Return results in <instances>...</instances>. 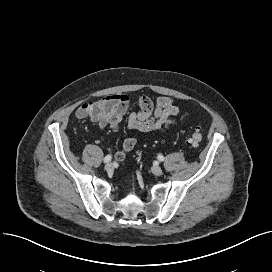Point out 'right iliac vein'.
<instances>
[{
	"mask_svg": "<svg viewBox=\"0 0 272 272\" xmlns=\"http://www.w3.org/2000/svg\"><path fill=\"white\" fill-rule=\"evenodd\" d=\"M104 168L107 172H111L114 169V166L112 163H107Z\"/></svg>",
	"mask_w": 272,
	"mask_h": 272,
	"instance_id": "63e3f726",
	"label": "right iliac vein"
}]
</instances>
